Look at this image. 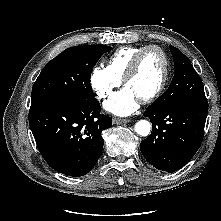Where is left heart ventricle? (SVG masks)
<instances>
[{"instance_id": "b2bd125f", "label": "left heart ventricle", "mask_w": 221, "mask_h": 221, "mask_svg": "<svg viewBox=\"0 0 221 221\" xmlns=\"http://www.w3.org/2000/svg\"><path fill=\"white\" fill-rule=\"evenodd\" d=\"M163 58L159 51L151 50L141 59L138 71L128 80V87L140 100L151 94L158 86L163 74Z\"/></svg>"}]
</instances>
